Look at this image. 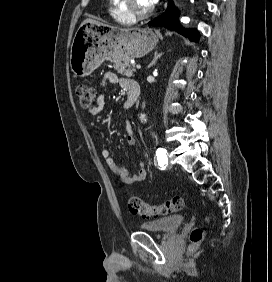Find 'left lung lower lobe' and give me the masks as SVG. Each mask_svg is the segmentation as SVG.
Segmentation results:
<instances>
[{
  "label": "left lung lower lobe",
  "mask_w": 272,
  "mask_h": 282,
  "mask_svg": "<svg viewBox=\"0 0 272 282\" xmlns=\"http://www.w3.org/2000/svg\"><path fill=\"white\" fill-rule=\"evenodd\" d=\"M179 13L174 7L171 0L168 2L166 11L159 17L149 23L153 26H164L168 29L175 30L178 33L188 37L190 40L197 41L199 36L193 29H184L179 23Z\"/></svg>",
  "instance_id": "obj_1"
}]
</instances>
